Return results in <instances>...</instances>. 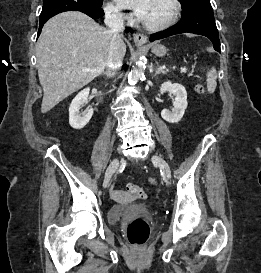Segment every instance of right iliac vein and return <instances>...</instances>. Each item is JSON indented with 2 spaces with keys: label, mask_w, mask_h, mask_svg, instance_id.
I'll return each mask as SVG.
<instances>
[{
  "label": "right iliac vein",
  "mask_w": 261,
  "mask_h": 273,
  "mask_svg": "<svg viewBox=\"0 0 261 273\" xmlns=\"http://www.w3.org/2000/svg\"><path fill=\"white\" fill-rule=\"evenodd\" d=\"M119 163H120L119 159L115 158L109 165L105 174L104 181H103V188H106L109 185L110 179L112 175L114 174V172L117 170Z\"/></svg>",
  "instance_id": "obj_1"
}]
</instances>
